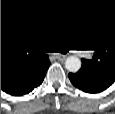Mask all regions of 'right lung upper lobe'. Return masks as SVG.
Returning <instances> with one entry per match:
<instances>
[{
    "label": "right lung upper lobe",
    "mask_w": 115,
    "mask_h": 114,
    "mask_svg": "<svg viewBox=\"0 0 115 114\" xmlns=\"http://www.w3.org/2000/svg\"><path fill=\"white\" fill-rule=\"evenodd\" d=\"M48 62L46 55L30 52L19 34L1 32V85L12 78L22 79Z\"/></svg>",
    "instance_id": "cb5924a9"
}]
</instances>
